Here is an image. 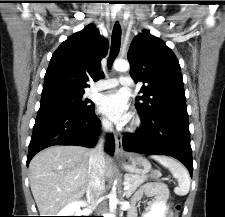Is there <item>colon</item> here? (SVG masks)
I'll list each match as a JSON object with an SVG mask.
<instances>
[{"instance_id":"5ec220e1","label":"colon","mask_w":225,"mask_h":217,"mask_svg":"<svg viewBox=\"0 0 225 217\" xmlns=\"http://www.w3.org/2000/svg\"><path fill=\"white\" fill-rule=\"evenodd\" d=\"M175 210H176V212H178V211L180 210V205H179V204H177V205L175 206Z\"/></svg>"}]
</instances>
